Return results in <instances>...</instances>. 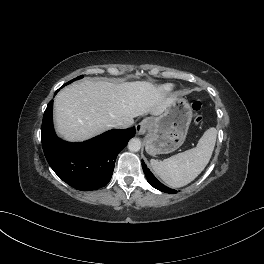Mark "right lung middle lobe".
Masks as SVG:
<instances>
[{
	"label": "right lung middle lobe",
	"instance_id": "1",
	"mask_svg": "<svg viewBox=\"0 0 264 264\" xmlns=\"http://www.w3.org/2000/svg\"><path fill=\"white\" fill-rule=\"evenodd\" d=\"M82 77H83V76H79V77H77V78H75V79L69 81L68 83L64 84L63 86H65V85H67V84H69V83H71V82H73V81H75V80H77V79H80V78H82Z\"/></svg>",
	"mask_w": 264,
	"mask_h": 264
}]
</instances>
